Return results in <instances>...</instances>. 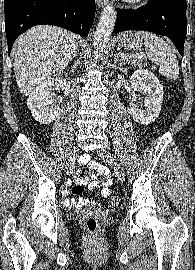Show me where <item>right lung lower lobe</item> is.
<instances>
[{"label":"right lung lower lobe","instance_id":"right-lung-lower-lobe-1","mask_svg":"<svg viewBox=\"0 0 195 270\" xmlns=\"http://www.w3.org/2000/svg\"><path fill=\"white\" fill-rule=\"evenodd\" d=\"M10 55L16 38L28 28L49 24L86 37L95 15V0H4Z\"/></svg>","mask_w":195,"mask_h":270}]
</instances>
